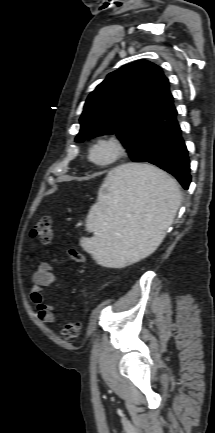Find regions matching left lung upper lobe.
<instances>
[{
	"instance_id": "5c2ea615",
	"label": "left lung upper lobe",
	"mask_w": 215,
	"mask_h": 433,
	"mask_svg": "<svg viewBox=\"0 0 215 433\" xmlns=\"http://www.w3.org/2000/svg\"><path fill=\"white\" fill-rule=\"evenodd\" d=\"M175 111L161 68L139 60L108 74L88 96L75 141L116 133L132 161L154 164Z\"/></svg>"
}]
</instances>
